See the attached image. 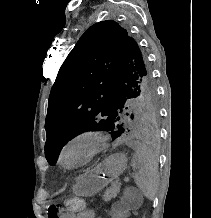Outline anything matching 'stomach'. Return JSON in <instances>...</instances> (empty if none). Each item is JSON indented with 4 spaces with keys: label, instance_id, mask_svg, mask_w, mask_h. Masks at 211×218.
Segmentation results:
<instances>
[{
    "label": "stomach",
    "instance_id": "1",
    "mask_svg": "<svg viewBox=\"0 0 211 218\" xmlns=\"http://www.w3.org/2000/svg\"><path fill=\"white\" fill-rule=\"evenodd\" d=\"M127 157L122 153L109 156L94 169L79 176L75 192L80 196H92L118 178L127 168Z\"/></svg>",
    "mask_w": 211,
    "mask_h": 218
}]
</instances>
